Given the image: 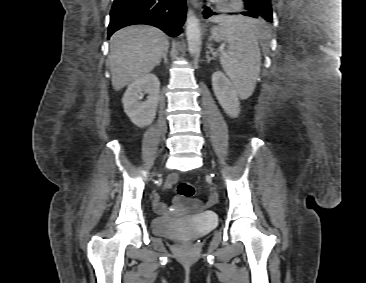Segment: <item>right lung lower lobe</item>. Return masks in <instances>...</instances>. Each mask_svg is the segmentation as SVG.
I'll list each match as a JSON object with an SVG mask.
<instances>
[{
	"label": "right lung lower lobe",
	"mask_w": 366,
	"mask_h": 283,
	"mask_svg": "<svg viewBox=\"0 0 366 283\" xmlns=\"http://www.w3.org/2000/svg\"><path fill=\"white\" fill-rule=\"evenodd\" d=\"M186 0H114L108 38L117 30L135 24L160 28L171 37L182 32Z\"/></svg>",
	"instance_id": "98d812e1"
}]
</instances>
